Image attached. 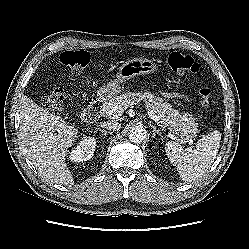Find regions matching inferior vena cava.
Wrapping results in <instances>:
<instances>
[{"instance_id":"1","label":"inferior vena cava","mask_w":249,"mask_h":249,"mask_svg":"<svg viewBox=\"0 0 249 249\" xmlns=\"http://www.w3.org/2000/svg\"><path fill=\"white\" fill-rule=\"evenodd\" d=\"M100 127L110 131H118L121 128V124L118 122H101Z\"/></svg>"}]
</instances>
